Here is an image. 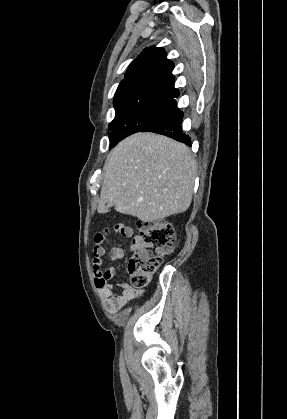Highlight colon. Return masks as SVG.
<instances>
[{
  "label": "colon",
  "instance_id": "obj_1",
  "mask_svg": "<svg viewBox=\"0 0 287 419\" xmlns=\"http://www.w3.org/2000/svg\"><path fill=\"white\" fill-rule=\"evenodd\" d=\"M139 235L131 247V256L128 262V270L132 277V285L144 288L150 276L161 266L166 254L173 251L175 235L171 224L161 222H138ZM108 229L96 235L98 243L109 241Z\"/></svg>",
  "mask_w": 287,
  "mask_h": 419
}]
</instances>
